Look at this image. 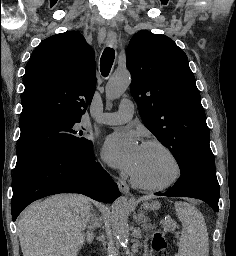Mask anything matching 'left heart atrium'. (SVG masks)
<instances>
[{
    "instance_id": "1",
    "label": "left heart atrium",
    "mask_w": 236,
    "mask_h": 256,
    "mask_svg": "<svg viewBox=\"0 0 236 256\" xmlns=\"http://www.w3.org/2000/svg\"><path fill=\"white\" fill-rule=\"evenodd\" d=\"M141 147L134 132H117L106 138L103 154L109 163L131 173L136 166Z\"/></svg>"
}]
</instances>
